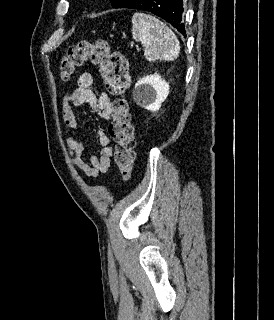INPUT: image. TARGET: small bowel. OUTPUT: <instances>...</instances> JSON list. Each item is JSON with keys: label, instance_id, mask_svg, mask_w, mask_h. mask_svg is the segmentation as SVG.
Segmentation results:
<instances>
[{"label": "small bowel", "instance_id": "obj_1", "mask_svg": "<svg viewBox=\"0 0 274 320\" xmlns=\"http://www.w3.org/2000/svg\"><path fill=\"white\" fill-rule=\"evenodd\" d=\"M93 75L89 71L82 72L78 77L77 88L62 100V114L67 127L78 129V120L72 109L74 106L88 105L101 120L108 121L112 116V102L106 93L96 95L92 89ZM98 142L101 147L99 156H90L89 162L84 159V143L80 137L67 136L66 148L72 164L88 177L96 178L106 172L111 165L114 149L111 140L102 129L98 131Z\"/></svg>", "mask_w": 274, "mask_h": 320}]
</instances>
